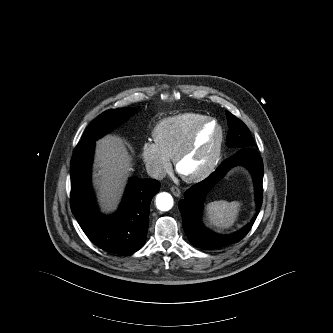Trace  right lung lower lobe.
<instances>
[{"label":"right lung lower lobe","mask_w":333,"mask_h":333,"mask_svg":"<svg viewBox=\"0 0 333 333\" xmlns=\"http://www.w3.org/2000/svg\"><path fill=\"white\" fill-rule=\"evenodd\" d=\"M95 142L79 143L71 160V209L87 237L99 248L129 254L145 243L149 207L159 192L154 179L131 178L117 213L104 217L97 212L90 183Z\"/></svg>","instance_id":"obj_1"}]
</instances>
